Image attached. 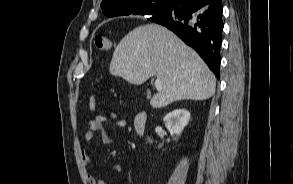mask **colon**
Masks as SVG:
<instances>
[{
	"mask_svg": "<svg viewBox=\"0 0 293 184\" xmlns=\"http://www.w3.org/2000/svg\"><path fill=\"white\" fill-rule=\"evenodd\" d=\"M94 45L98 51H109L113 47V42L110 38L97 35L94 38ZM96 107V97L92 95L89 99V108L90 110H95Z\"/></svg>",
	"mask_w": 293,
	"mask_h": 184,
	"instance_id": "1",
	"label": "colon"
}]
</instances>
